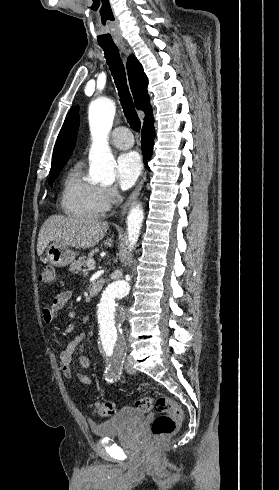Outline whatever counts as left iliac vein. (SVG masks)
<instances>
[{
  "label": "left iliac vein",
  "mask_w": 279,
  "mask_h": 490,
  "mask_svg": "<svg viewBox=\"0 0 279 490\" xmlns=\"http://www.w3.org/2000/svg\"><path fill=\"white\" fill-rule=\"evenodd\" d=\"M118 358H119V360L124 361V360H126L127 357H126V355L121 354V355H119Z\"/></svg>",
  "instance_id": "obj_1"
}]
</instances>
